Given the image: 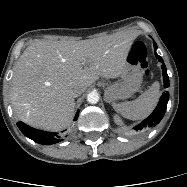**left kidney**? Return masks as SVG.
<instances>
[{"label": "left kidney", "mask_w": 187, "mask_h": 187, "mask_svg": "<svg viewBox=\"0 0 187 187\" xmlns=\"http://www.w3.org/2000/svg\"><path fill=\"white\" fill-rule=\"evenodd\" d=\"M114 121L116 124L121 125L122 124V120L120 119V117L118 115H114Z\"/></svg>", "instance_id": "1"}]
</instances>
